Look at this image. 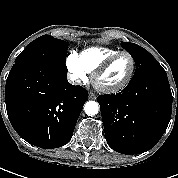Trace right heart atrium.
Instances as JSON below:
<instances>
[{
  "label": "right heart atrium",
  "instance_id": "obj_1",
  "mask_svg": "<svg viewBox=\"0 0 178 178\" xmlns=\"http://www.w3.org/2000/svg\"><path fill=\"white\" fill-rule=\"evenodd\" d=\"M67 68L72 81L76 84L86 83L88 81V73L80 64L78 55L71 54L67 58Z\"/></svg>",
  "mask_w": 178,
  "mask_h": 178
}]
</instances>
